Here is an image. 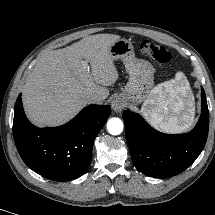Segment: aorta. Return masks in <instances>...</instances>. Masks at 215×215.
<instances>
[{
    "instance_id": "aorta-1",
    "label": "aorta",
    "mask_w": 215,
    "mask_h": 215,
    "mask_svg": "<svg viewBox=\"0 0 215 215\" xmlns=\"http://www.w3.org/2000/svg\"><path fill=\"white\" fill-rule=\"evenodd\" d=\"M108 132L112 135H119L123 131V122L119 118H111L107 122Z\"/></svg>"
}]
</instances>
